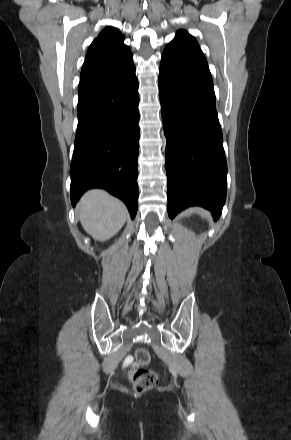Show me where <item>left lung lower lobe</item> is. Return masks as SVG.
<instances>
[{
  "label": "left lung lower lobe",
  "mask_w": 291,
  "mask_h": 440,
  "mask_svg": "<svg viewBox=\"0 0 291 440\" xmlns=\"http://www.w3.org/2000/svg\"><path fill=\"white\" fill-rule=\"evenodd\" d=\"M158 86L167 139L168 215L199 205L218 219L227 163L209 68L162 55Z\"/></svg>",
  "instance_id": "left-lung-lower-lobe-1"
}]
</instances>
